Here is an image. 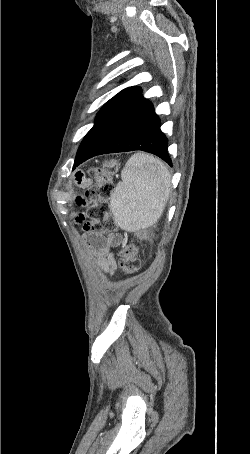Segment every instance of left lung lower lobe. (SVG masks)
<instances>
[{"mask_svg": "<svg viewBox=\"0 0 250 454\" xmlns=\"http://www.w3.org/2000/svg\"><path fill=\"white\" fill-rule=\"evenodd\" d=\"M160 125L153 105L139 91L100 125L83 153L76 156L74 168L97 155L133 150L155 154L172 166Z\"/></svg>", "mask_w": 250, "mask_h": 454, "instance_id": "left-lung-lower-lobe-1", "label": "left lung lower lobe"}]
</instances>
